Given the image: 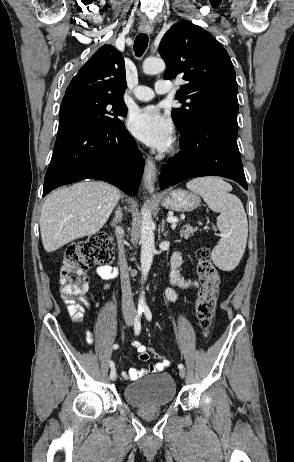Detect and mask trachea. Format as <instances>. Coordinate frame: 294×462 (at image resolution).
Listing matches in <instances>:
<instances>
[{
    "mask_svg": "<svg viewBox=\"0 0 294 462\" xmlns=\"http://www.w3.org/2000/svg\"><path fill=\"white\" fill-rule=\"evenodd\" d=\"M148 46V36L146 34H138L134 41V51L137 57H141Z\"/></svg>",
    "mask_w": 294,
    "mask_h": 462,
    "instance_id": "3493384b",
    "label": "trachea"
}]
</instances>
